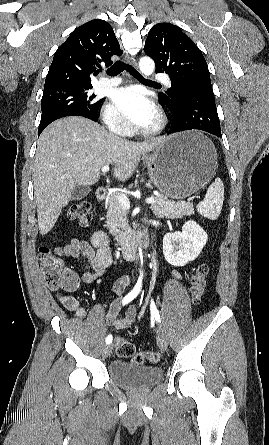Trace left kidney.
Returning <instances> with one entry per match:
<instances>
[{
  "label": "left kidney",
  "mask_w": 269,
  "mask_h": 445,
  "mask_svg": "<svg viewBox=\"0 0 269 445\" xmlns=\"http://www.w3.org/2000/svg\"><path fill=\"white\" fill-rule=\"evenodd\" d=\"M207 239L206 232L199 224L187 221L182 227V232L169 233L164 236V257L173 266H184L199 256Z\"/></svg>",
  "instance_id": "1"
}]
</instances>
